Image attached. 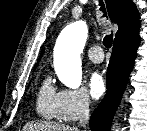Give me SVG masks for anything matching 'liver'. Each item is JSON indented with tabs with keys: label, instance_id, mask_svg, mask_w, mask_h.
Masks as SVG:
<instances>
[{
	"label": "liver",
	"instance_id": "obj_1",
	"mask_svg": "<svg viewBox=\"0 0 147 131\" xmlns=\"http://www.w3.org/2000/svg\"><path fill=\"white\" fill-rule=\"evenodd\" d=\"M22 131H79L76 127H70L64 124L48 122H29L26 123Z\"/></svg>",
	"mask_w": 147,
	"mask_h": 131
}]
</instances>
